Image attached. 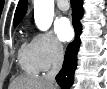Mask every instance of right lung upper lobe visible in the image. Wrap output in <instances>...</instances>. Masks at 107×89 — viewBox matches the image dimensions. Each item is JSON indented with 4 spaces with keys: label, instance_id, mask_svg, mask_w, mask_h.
<instances>
[{
    "label": "right lung upper lobe",
    "instance_id": "right-lung-upper-lobe-1",
    "mask_svg": "<svg viewBox=\"0 0 107 89\" xmlns=\"http://www.w3.org/2000/svg\"><path fill=\"white\" fill-rule=\"evenodd\" d=\"M26 11H27V0H19L14 15V21H13L14 26H17L21 22V20L26 14Z\"/></svg>",
    "mask_w": 107,
    "mask_h": 89
}]
</instances>
